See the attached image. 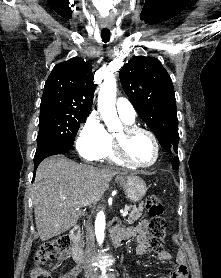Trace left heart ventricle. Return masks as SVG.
<instances>
[{
	"label": "left heart ventricle",
	"instance_id": "1",
	"mask_svg": "<svg viewBox=\"0 0 221 278\" xmlns=\"http://www.w3.org/2000/svg\"><path fill=\"white\" fill-rule=\"evenodd\" d=\"M115 137L124 141V149L127 157L136 164H150L155 157V148L151 138L144 132H137L127 138L123 130L115 134Z\"/></svg>",
	"mask_w": 221,
	"mask_h": 278
}]
</instances>
